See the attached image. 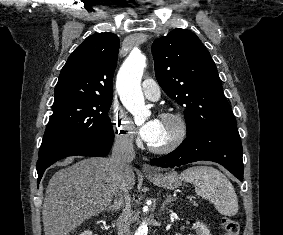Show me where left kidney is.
Returning <instances> with one entry per match:
<instances>
[{
    "label": "left kidney",
    "instance_id": "5707ae66",
    "mask_svg": "<svg viewBox=\"0 0 283 235\" xmlns=\"http://www.w3.org/2000/svg\"><path fill=\"white\" fill-rule=\"evenodd\" d=\"M194 228L196 230L197 235H212L208 227L202 222H196L194 224Z\"/></svg>",
    "mask_w": 283,
    "mask_h": 235
}]
</instances>
